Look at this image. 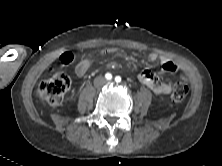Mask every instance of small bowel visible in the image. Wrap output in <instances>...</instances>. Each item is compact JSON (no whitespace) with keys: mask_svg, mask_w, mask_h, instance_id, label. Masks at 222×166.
I'll return each mask as SVG.
<instances>
[{"mask_svg":"<svg viewBox=\"0 0 222 166\" xmlns=\"http://www.w3.org/2000/svg\"><path fill=\"white\" fill-rule=\"evenodd\" d=\"M118 49H104L101 51L102 55H112L118 53ZM92 56L89 55L88 57L84 58L75 66V74L78 77H83L88 70L92 66ZM148 59L150 62H160L162 65V70L167 73H175L178 70L177 65L164 56H159L157 53L152 52L149 54ZM138 80L150 88L156 95L168 94L171 92L172 85L167 82H163L160 80L157 74L150 70H142L137 75ZM183 79H185L183 77Z\"/></svg>","mask_w":222,"mask_h":166,"instance_id":"1","label":"small bowel"}]
</instances>
